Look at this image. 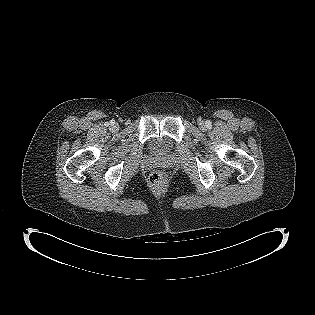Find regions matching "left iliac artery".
I'll list each match as a JSON object with an SVG mask.
<instances>
[{
    "instance_id": "left-iliac-artery-1",
    "label": "left iliac artery",
    "mask_w": 315,
    "mask_h": 315,
    "mask_svg": "<svg viewBox=\"0 0 315 315\" xmlns=\"http://www.w3.org/2000/svg\"><path fill=\"white\" fill-rule=\"evenodd\" d=\"M206 126L210 127L211 126V122L209 120L206 121Z\"/></svg>"
}]
</instances>
